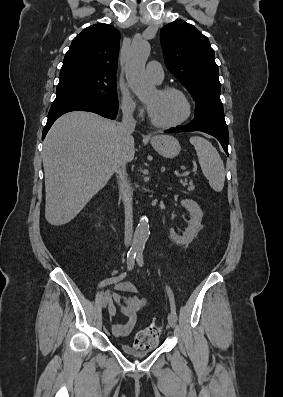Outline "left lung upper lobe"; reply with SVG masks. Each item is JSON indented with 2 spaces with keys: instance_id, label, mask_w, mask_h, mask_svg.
<instances>
[{
  "instance_id": "5c2ea615",
  "label": "left lung upper lobe",
  "mask_w": 283,
  "mask_h": 397,
  "mask_svg": "<svg viewBox=\"0 0 283 397\" xmlns=\"http://www.w3.org/2000/svg\"><path fill=\"white\" fill-rule=\"evenodd\" d=\"M160 41L167 69L193 96L194 116L224 118L218 66L208 38L193 25L177 20L161 29Z\"/></svg>"
}]
</instances>
